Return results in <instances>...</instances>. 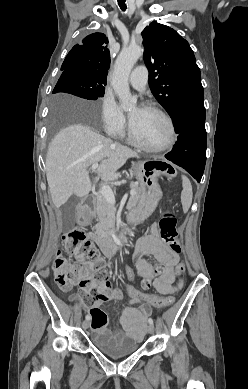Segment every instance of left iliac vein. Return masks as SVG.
Here are the masks:
<instances>
[{
	"mask_svg": "<svg viewBox=\"0 0 248 389\" xmlns=\"http://www.w3.org/2000/svg\"><path fill=\"white\" fill-rule=\"evenodd\" d=\"M147 330H148V333H150V334H153L154 331H155L154 326L152 324L148 325V329Z\"/></svg>",
	"mask_w": 248,
	"mask_h": 389,
	"instance_id": "obj_1",
	"label": "left iliac vein"
}]
</instances>
